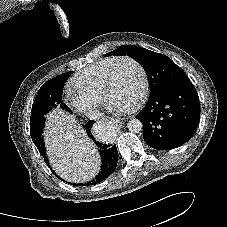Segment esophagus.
<instances>
[{"mask_svg": "<svg viewBox=\"0 0 227 227\" xmlns=\"http://www.w3.org/2000/svg\"><path fill=\"white\" fill-rule=\"evenodd\" d=\"M111 120H112L113 124H115L117 126L120 125V120H118V119H112V118H111Z\"/></svg>", "mask_w": 227, "mask_h": 227, "instance_id": "esophagus-1", "label": "esophagus"}]
</instances>
